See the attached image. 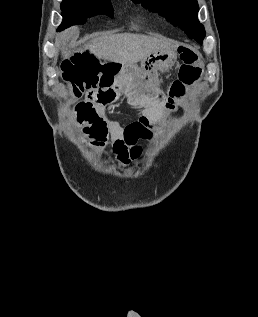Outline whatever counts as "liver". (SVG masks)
I'll list each match as a JSON object with an SVG mask.
<instances>
[{
    "label": "liver",
    "instance_id": "1",
    "mask_svg": "<svg viewBox=\"0 0 258 317\" xmlns=\"http://www.w3.org/2000/svg\"><path fill=\"white\" fill-rule=\"evenodd\" d=\"M80 30L78 26H71L68 30L61 32L59 38H56L57 44H67L70 38L78 36ZM174 40L170 38H156V36H147V34H134V32H119V34H103V36H96L86 42L79 50H86L90 48L92 54L97 58H104V60H111V62H122V64H132V62H139L145 60L151 52L157 50H172L176 48ZM63 56L69 58L72 50H68L63 46Z\"/></svg>",
    "mask_w": 258,
    "mask_h": 317
}]
</instances>
